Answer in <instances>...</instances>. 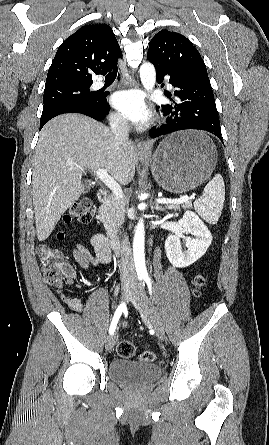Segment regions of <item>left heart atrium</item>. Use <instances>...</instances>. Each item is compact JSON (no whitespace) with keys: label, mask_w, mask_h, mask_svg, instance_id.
I'll return each instance as SVG.
<instances>
[{"label":"left heart atrium","mask_w":269,"mask_h":445,"mask_svg":"<svg viewBox=\"0 0 269 445\" xmlns=\"http://www.w3.org/2000/svg\"><path fill=\"white\" fill-rule=\"evenodd\" d=\"M112 103L123 117L134 123H143L148 117L143 99L135 91H117L112 96Z\"/></svg>","instance_id":"1"}]
</instances>
